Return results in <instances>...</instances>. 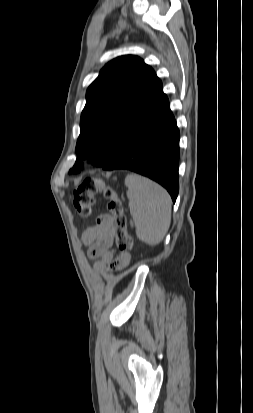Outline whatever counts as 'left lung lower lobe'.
Instances as JSON below:
<instances>
[{"mask_svg":"<svg viewBox=\"0 0 253 413\" xmlns=\"http://www.w3.org/2000/svg\"><path fill=\"white\" fill-rule=\"evenodd\" d=\"M115 157L103 170L128 169L164 186L175 202L180 133L162 85L146 107L124 121Z\"/></svg>","mask_w":253,"mask_h":413,"instance_id":"obj_1","label":"left lung lower lobe"}]
</instances>
